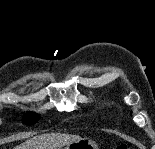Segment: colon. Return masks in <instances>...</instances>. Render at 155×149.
Returning a JSON list of instances; mask_svg holds the SVG:
<instances>
[{
  "label": "colon",
  "instance_id": "obj_1",
  "mask_svg": "<svg viewBox=\"0 0 155 149\" xmlns=\"http://www.w3.org/2000/svg\"><path fill=\"white\" fill-rule=\"evenodd\" d=\"M116 149H129V146L125 143L119 144Z\"/></svg>",
  "mask_w": 155,
  "mask_h": 149
}]
</instances>
